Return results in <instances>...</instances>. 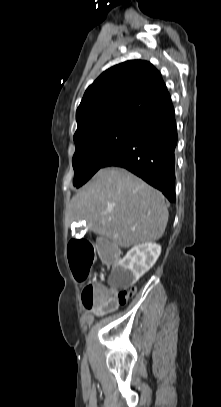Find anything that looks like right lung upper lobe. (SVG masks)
Masks as SVG:
<instances>
[{"instance_id":"cb5924a9","label":"right lung upper lobe","mask_w":221,"mask_h":407,"mask_svg":"<svg viewBox=\"0 0 221 407\" xmlns=\"http://www.w3.org/2000/svg\"><path fill=\"white\" fill-rule=\"evenodd\" d=\"M170 101L161 74L151 63L130 60L115 65L86 90L76 112L74 141L104 127L139 124Z\"/></svg>"}]
</instances>
